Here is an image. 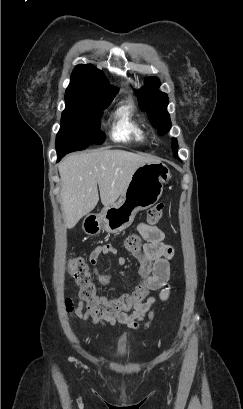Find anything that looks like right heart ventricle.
Instances as JSON below:
<instances>
[{
  "instance_id": "1",
  "label": "right heart ventricle",
  "mask_w": 243,
  "mask_h": 409,
  "mask_svg": "<svg viewBox=\"0 0 243 409\" xmlns=\"http://www.w3.org/2000/svg\"><path fill=\"white\" fill-rule=\"evenodd\" d=\"M113 119L112 138L114 141L145 143L148 140L147 132L134 120L131 104L121 105L114 112Z\"/></svg>"
}]
</instances>
